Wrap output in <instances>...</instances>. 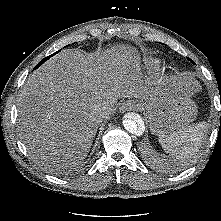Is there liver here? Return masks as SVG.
<instances>
[{
  "mask_svg": "<svg viewBox=\"0 0 221 221\" xmlns=\"http://www.w3.org/2000/svg\"><path fill=\"white\" fill-rule=\"evenodd\" d=\"M140 69L137 50L128 45L95 58L67 49L43 64L27 80L18 104L20 136L32 156L64 166L84 161L118 99L149 96ZM195 87L186 85L184 93Z\"/></svg>",
  "mask_w": 221,
  "mask_h": 221,
  "instance_id": "1",
  "label": "liver"
}]
</instances>
